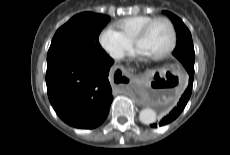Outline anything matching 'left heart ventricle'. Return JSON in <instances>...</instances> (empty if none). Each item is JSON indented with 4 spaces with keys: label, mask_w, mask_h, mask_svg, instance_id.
I'll return each mask as SVG.
<instances>
[{
    "label": "left heart ventricle",
    "mask_w": 230,
    "mask_h": 155,
    "mask_svg": "<svg viewBox=\"0 0 230 155\" xmlns=\"http://www.w3.org/2000/svg\"><path fill=\"white\" fill-rule=\"evenodd\" d=\"M171 41L169 25L164 21L156 22L147 35L139 41L138 48H141L148 56L159 54L165 51Z\"/></svg>",
    "instance_id": "left-heart-ventricle-1"
}]
</instances>
